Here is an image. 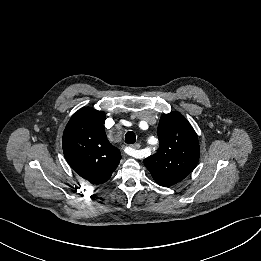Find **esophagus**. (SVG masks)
Listing matches in <instances>:
<instances>
[{
  "instance_id": "esophagus-1",
  "label": "esophagus",
  "mask_w": 261,
  "mask_h": 261,
  "mask_svg": "<svg viewBox=\"0 0 261 261\" xmlns=\"http://www.w3.org/2000/svg\"><path fill=\"white\" fill-rule=\"evenodd\" d=\"M132 148H133L134 150L139 149V148H140V144H139V143H135V144L132 145ZM130 156H132V157H134V158H140L139 155H138V153H136L135 151L132 152V153H130Z\"/></svg>"
}]
</instances>
